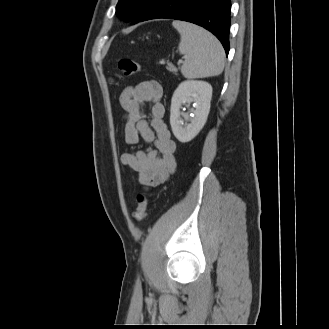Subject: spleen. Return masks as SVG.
I'll list each match as a JSON object with an SVG mask.
<instances>
[{
    "label": "spleen",
    "mask_w": 329,
    "mask_h": 329,
    "mask_svg": "<svg viewBox=\"0 0 329 329\" xmlns=\"http://www.w3.org/2000/svg\"><path fill=\"white\" fill-rule=\"evenodd\" d=\"M172 26L180 34L179 52L185 56L181 73L185 78L212 77L222 73L225 52L214 35L184 21H173Z\"/></svg>",
    "instance_id": "spleen-1"
}]
</instances>
